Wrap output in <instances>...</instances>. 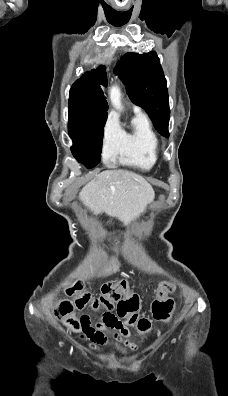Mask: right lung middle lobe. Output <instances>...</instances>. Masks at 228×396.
Masks as SVG:
<instances>
[{
	"mask_svg": "<svg viewBox=\"0 0 228 396\" xmlns=\"http://www.w3.org/2000/svg\"><path fill=\"white\" fill-rule=\"evenodd\" d=\"M106 119L107 111L83 115L69 108L68 132L73 140L71 151L87 168H93L100 162Z\"/></svg>",
	"mask_w": 228,
	"mask_h": 396,
	"instance_id": "dd1d6c3e",
	"label": "right lung middle lobe"
}]
</instances>
